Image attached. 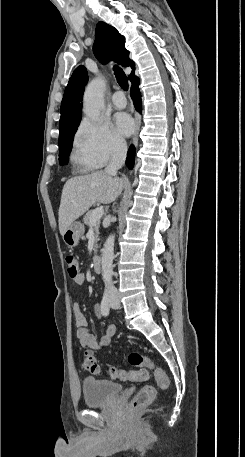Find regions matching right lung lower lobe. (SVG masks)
Segmentation results:
<instances>
[{"label":"right lung lower lobe","mask_w":245,"mask_h":457,"mask_svg":"<svg viewBox=\"0 0 245 457\" xmlns=\"http://www.w3.org/2000/svg\"><path fill=\"white\" fill-rule=\"evenodd\" d=\"M132 82V87H131V97L134 101L135 108L138 110V112H141V94L139 91V80L137 77H135ZM134 160H135V148L131 145L128 153H127V159H126V165L128 166L129 169H132L134 165Z\"/></svg>","instance_id":"obj_1"}]
</instances>
